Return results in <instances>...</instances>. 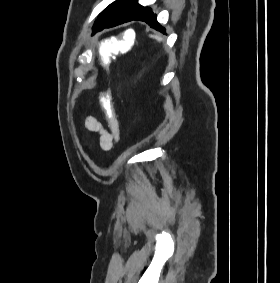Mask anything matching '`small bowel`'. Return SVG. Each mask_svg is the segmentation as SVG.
Instances as JSON below:
<instances>
[{"instance_id":"1","label":"small bowel","mask_w":280,"mask_h":283,"mask_svg":"<svg viewBox=\"0 0 280 283\" xmlns=\"http://www.w3.org/2000/svg\"><path fill=\"white\" fill-rule=\"evenodd\" d=\"M85 126L89 131L98 135L99 144L103 150L108 151L113 147V144L117 139L114 136L113 126L110 122H108V130L97 118L87 116L85 119ZM117 126L119 127L118 122Z\"/></svg>"}]
</instances>
